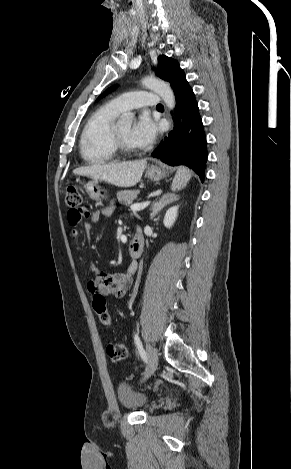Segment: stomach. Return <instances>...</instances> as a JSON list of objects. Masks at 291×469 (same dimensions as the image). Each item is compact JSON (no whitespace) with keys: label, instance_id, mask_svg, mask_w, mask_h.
<instances>
[{"label":"stomach","instance_id":"obj_1","mask_svg":"<svg viewBox=\"0 0 291 469\" xmlns=\"http://www.w3.org/2000/svg\"><path fill=\"white\" fill-rule=\"evenodd\" d=\"M167 172L160 166H150L146 170V176L152 181H160L166 177ZM86 191L92 200L102 202L107 200L109 195L105 188L101 187L98 179H92L85 185Z\"/></svg>","mask_w":291,"mask_h":469}]
</instances>
